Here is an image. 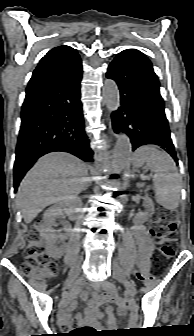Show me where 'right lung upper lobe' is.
<instances>
[{"instance_id":"1","label":"right lung upper lobe","mask_w":194,"mask_h":336,"mask_svg":"<svg viewBox=\"0 0 194 336\" xmlns=\"http://www.w3.org/2000/svg\"><path fill=\"white\" fill-rule=\"evenodd\" d=\"M81 64L75 49L69 46H59L49 51L39 62L29 81L27 90L42 84L52 82Z\"/></svg>"}]
</instances>
